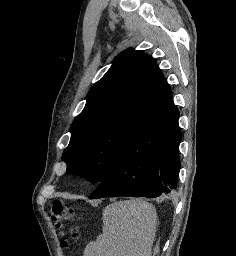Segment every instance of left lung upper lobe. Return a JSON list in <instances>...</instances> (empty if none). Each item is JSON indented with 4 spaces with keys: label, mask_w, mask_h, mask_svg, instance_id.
<instances>
[{
    "label": "left lung upper lobe",
    "mask_w": 236,
    "mask_h": 256,
    "mask_svg": "<svg viewBox=\"0 0 236 256\" xmlns=\"http://www.w3.org/2000/svg\"><path fill=\"white\" fill-rule=\"evenodd\" d=\"M171 98L151 56L131 48L120 53L88 92L83 111L71 125L62 156L67 172L102 183L134 130Z\"/></svg>",
    "instance_id": "obj_1"
}]
</instances>
